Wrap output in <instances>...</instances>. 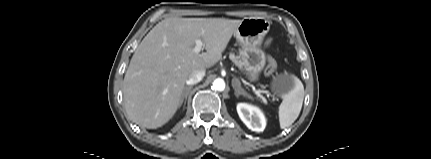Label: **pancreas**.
<instances>
[{"label":"pancreas","instance_id":"1","mask_svg":"<svg viewBox=\"0 0 431 159\" xmlns=\"http://www.w3.org/2000/svg\"><path fill=\"white\" fill-rule=\"evenodd\" d=\"M229 58L239 67L242 68V63L238 60V57L234 54H230Z\"/></svg>","mask_w":431,"mask_h":159}]
</instances>
